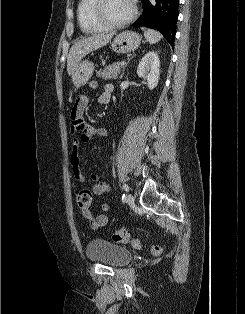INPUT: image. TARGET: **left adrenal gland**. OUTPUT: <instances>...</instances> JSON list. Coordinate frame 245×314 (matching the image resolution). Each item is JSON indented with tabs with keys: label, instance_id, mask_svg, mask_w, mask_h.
<instances>
[{
	"label": "left adrenal gland",
	"instance_id": "1",
	"mask_svg": "<svg viewBox=\"0 0 245 314\" xmlns=\"http://www.w3.org/2000/svg\"><path fill=\"white\" fill-rule=\"evenodd\" d=\"M135 55H136V54H134V55L128 60V62L126 63V65H125V67H124V69H123V73H122V75L120 76V79H122V77L124 76V71H125V68L127 67L128 63H129V61H130Z\"/></svg>",
	"mask_w": 245,
	"mask_h": 314
}]
</instances>
